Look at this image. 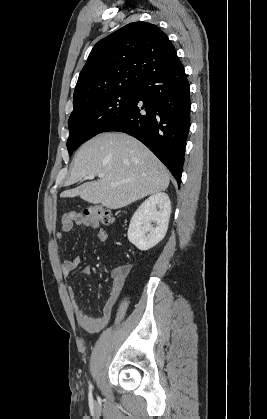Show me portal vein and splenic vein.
<instances>
[{
	"label": "portal vein and splenic vein",
	"mask_w": 267,
	"mask_h": 419,
	"mask_svg": "<svg viewBox=\"0 0 267 419\" xmlns=\"http://www.w3.org/2000/svg\"><path fill=\"white\" fill-rule=\"evenodd\" d=\"M103 176H104V174H102V173L98 175L99 178H102ZM86 178L91 180V179L95 178V175H88ZM117 185H118L117 182H112L111 183V186H113V187H115Z\"/></svg>",
	"instance_id": "18ae733b"
}]
</instances>
